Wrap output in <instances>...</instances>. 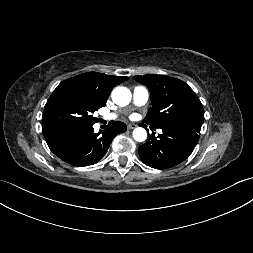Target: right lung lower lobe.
Listing matches in <instances>:
<instances>
[{"label":"right lung lower lobe","mask_w":253,"mask_h":253,"mask_svg":"<svg viewBox=\"0 0 253 253\" xmlns=\"http://www.w3.org/2000/svg\"><path fill=\"white\" fill-rule=\"evenodd\" d=\"M92 125L55 126L42 131L50 150L61 160L74 166H89L103 158L117 134L127 130L119 121H111L106 130L98 133H94Z\"/></svg>","instance_id":"obj_1"}]
</instances>
